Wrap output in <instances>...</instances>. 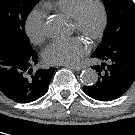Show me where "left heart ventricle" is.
<instances>
[{
	"label": "left heart ventricle",
	"instance_id": "obj_1",
	"mask_svg": "<svg viewBox=\"0 0 135 135\" xmlns=\"http://www.w3.org/2000/svg\"><path fill=\"white\" fill-rule=\"evenodd\" d=\"M100 20V12L98 7L95 4H90L86 7L84 11V32L81 34L85 39H87L88 35L94 31ZM71 28L74 31V27L71 24Z\"/></svg>",
	"mask_w": 135,
	"mask_h": 135
}]
</instances>
